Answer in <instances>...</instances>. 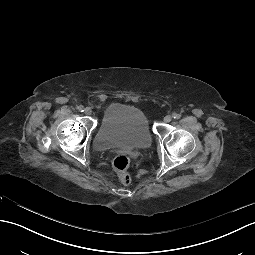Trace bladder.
I'll return each instance as SVG.
<instances>
[{
    "mask_svg": "<svg viewBox=\"0 0 255 255\" xmlns=\"http://www.w3.org/2000/svg\"><path fill=\"white\" fill-rule=\"evenodd\" d=\"M151 141L152 133L143 111L123 104L106 110L95 137L96 148L100 150L118 146L141 148Z\"/></svg>",
    "mask_w": 255,
    "mask_h": 255,
    "instance_id": "1",
    "label": "bladder"
}]
</instances>
